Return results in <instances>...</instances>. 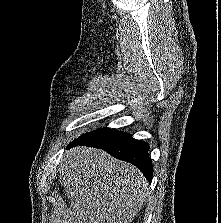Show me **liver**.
Segmentation results:
<instances>
[{
	"label": "liver",
	"instance_id": "6515ba94",
	"mask_svg": "<svg viewBox=\"0 0 221 223\" xmlns=\"http://www.w3.org/2000/svg\"><path fill=\"white\" fill-rule=\"evenodd\" d=\"M59 178L71 205L55 223H131L149 190L135 166L84 146L66 151Z\"/></svg>",
	"mask_w": 221,
	"mask_h": 223
}]
</instances>
